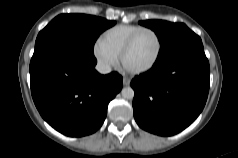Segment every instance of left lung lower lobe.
<instances>
[{
  "label": "left lung lower lobe",
  "instance_id": "1",
  "mask_svg": "<svg viewBox=\"0 0 238 158\" xmlns=\"http://www.w3.org/2000/svg\"><path fill=\"white\" fill-rule=\"evenodd\" d=\"M210 68L202 41L157 60L131 81L134 118L144 130L171 136L188 127L203 110Z\"/></svg>",
  "mask_w": 238,
  "mask_h": 158
}]
</instances>
